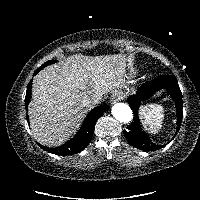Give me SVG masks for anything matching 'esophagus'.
I'll return each instance as SVG.
<instances>
[{
  "instance_id": "1",
  "label": "esophagus",
  "mask_w": 200,
  "mask_h": 200,
  "mask_svg": "<svg viewBox=\"0 0 200 200\" xmlns=\"http://www.w3.org/2000/svg\"><path fill=\"white\" fill-rule=\"evenodd\" d=\"M124 98V93L120 90H115L111 93V96H110V101L112 103H115L117 101H120Z\"/></svg>"
}]
</instances>
